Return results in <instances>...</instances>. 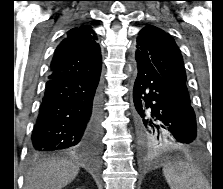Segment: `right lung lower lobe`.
<instances>
[{"label":"right lung lower lobe","instance_id":"obj_1","mask_svg":"<svg viewBox=\"0 0 223 189\" xmlns=\"http://www.w3.org/2000/svg\"><path fill=\"white\" fill-rule=\"evenodd\" d=\"M101 71V70H100ZM100 71L81 78L48 80L32 132L31 152L100 147Z\"/></svg>","mask_w":223,"mask_h":189}]
</instances>
